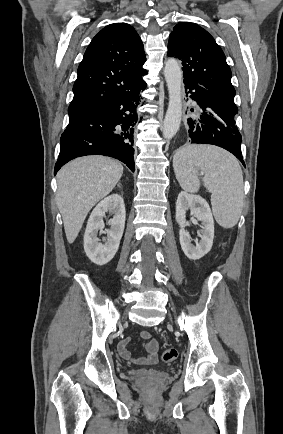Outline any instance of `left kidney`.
I'll return each instance as SVG.
<instances>
[{
  "label": "left kidney",
  "mask_w": 283,
  "mask_h": 434,
  "mask_svg": "<svg viewBox=\"0 0 283 434\" xmlns=\"http://www.w3.org/2000/svg\"><path fill=\"white\" fill-rule=\"evenodd\" d=\"M190 210L198 221H201V230L198 234L200 241L191 244L190 235L185 229L186 211ZM176 222L180 226L179 240L184 254L191 260H198L206 255L212 248L214 239V220L207 201L199 195L181 192L176 202Z\"/></svg>",
  "instance_id": "1"
}]
</instances>
